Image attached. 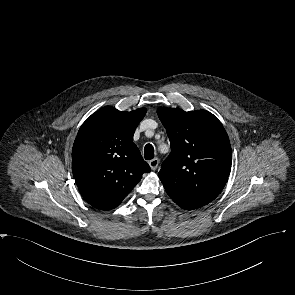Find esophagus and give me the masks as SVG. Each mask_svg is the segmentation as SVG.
Segmentation results:
<instances>
[{
    "label": "esophagus",
    "mask_w": 295,
    "mask_h": 295,
    "mask_svg": "<svg viewBox=\"0 0 295 295\" xmlns=\"http://www.w3.org/2000/svg\"><path fill=\"white\" fill-rule=\"evenodd\" d=\"M158 165H159V159L158 158H154V159L149 161V166L151 167L152 170H156Z\"/></svg>",
    "instance_id": "esophagus-1"
}]
</instances>
